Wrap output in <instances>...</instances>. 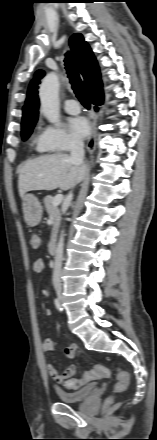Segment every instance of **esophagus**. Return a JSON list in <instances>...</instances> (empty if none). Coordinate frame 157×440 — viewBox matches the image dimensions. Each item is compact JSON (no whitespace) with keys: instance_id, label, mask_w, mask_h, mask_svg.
I'll return each instance as SVG.
<instances>
[{"instance_id":"1","label":"esophagus","mask_w":157,"mask_h":440,"mask_svg":"<svg viewBox=\"0 0 157 440\" xmlns=\"http://www.w3.org/2000/svg\"><path fill=\"white\" fill-rule=\"evenodd\" d=\"M89 123L91 127V135L88 139L86 149L89 153H92L95 150L97 140L96 116L94 110H92L89 114Z\"/></svg>"}]
</instances>
